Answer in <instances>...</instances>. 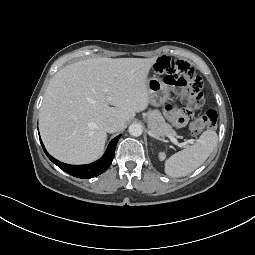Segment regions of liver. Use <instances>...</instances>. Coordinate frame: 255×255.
<instances>
[{"label": "liver", "mask_w": 255, "mask_h": 255, "mask_svg": "<svg viewBox=\"0 0 255 255\" xmlns=\"http://www.w3.org/2000/svg\"><path fill=\"white\" fill-rule=\"evenodd\" d=\"M157 58H93L58 71L39 114L48 152L69 164L97 160L107 139L105 121L119 119L123 129L148 107L147 76Z\"/></svg>", "instance_id": "obj_1"}]
</instances>
